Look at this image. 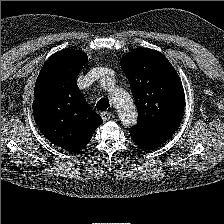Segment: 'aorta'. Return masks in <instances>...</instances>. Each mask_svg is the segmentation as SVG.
<instances>
[{
  "mask_svg": "<svg viewBox=\"0 0 224 224\" xmlns=\"http://www.w3.org/2000/svg\"><path fill=\"white\" fill-rule=\"evenodd\" d=\"M107 84L110 87L111 100L118 111L123 125L130 127L136 124L137 110L129 93L123 89L116 88L112 79H108Z\"/></svg>",
  "mask_w": 224,
  "mask_h": 224,
  "instance_id": "762f6f07",
  "label": "aorta"
}]
</instances>
